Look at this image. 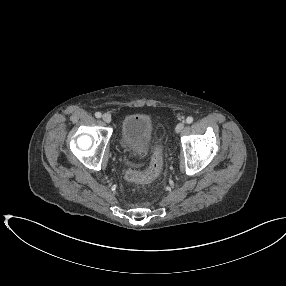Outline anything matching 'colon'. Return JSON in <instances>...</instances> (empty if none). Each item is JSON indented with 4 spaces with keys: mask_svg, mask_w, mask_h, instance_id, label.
Returning a JSON list of instances; mask_svg holds the SVG:
<instances>
[{
    "mask_svg": "<svg viewBox=\"0 0 286 286\" xmlns=\"http://www.w3.org/2000/svg\"><path fill=\"white\" fill-rule=\"evenodd\" d=\"M163 166V151L160 145H157L153 151L150 165L145 171H137L129 168L126 178L132 182L147 183L154 180L161 172Z\"/></svg>",
    "mask_w": 286,
    "mask_h": 286,
    "instance_id": "5ec220e1",
    "label": "colon"
}]
</instances>
